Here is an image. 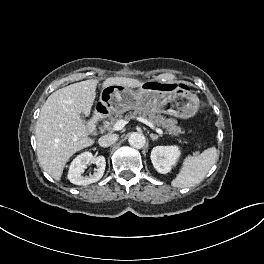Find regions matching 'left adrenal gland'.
I'll return each instance as SVG.
<instances>
[{
  "mask_svg": "<svg viewBox=\"0 0 264 264\" xmlns=\"http://www.w3.org/2000/svg\"><path fill=\"white\" fill-rule=\"evenodd\" d=\"M150 137L153 141L157 140L159 137H161V135H156V134H153V133H150Z\"/></svg>",
  "mask_w": 264,
  "mask_h": 264,
  "instance_id": "1",
  "label": "left adrenal gland"
}]
</instances>
